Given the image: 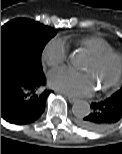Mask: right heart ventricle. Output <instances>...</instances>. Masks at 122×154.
<instances>
[{
  "label": "right heart ventricle",
  "mask_w": 122,
  "mask_h": 154,
  "mask_svg": "<svg viewBox=\"0 0 122 154\" xmlns=\"http://www.w3.org/2000/svg\"><path fill=\"white\" fill-rule=\"evenodd\" d=\"M68 40V38H66ZM77 47L86 49L91 56L112 51V46L104 39L95 36H85L74 40Z\"/></svg>",
  "instance_id": "obj_1"
}]
</instances>
